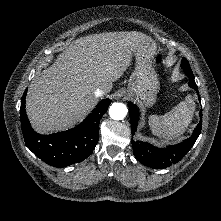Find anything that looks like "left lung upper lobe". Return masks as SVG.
Listing matches in <instances>:
<instances>
[{"label":"left lung upper lobe","mask_w":221,"mask_h":221,"mask_svg":"<svg viewBox=\"0 0 221 221\" xmlns=\"http://www.w3.org/2000/svg\"><path fill=\"white\" fill-rule=\"evenodd\" d=\"M181 67L183 68V70H191L189 63L185 58L182 59Z\"/></svg>","instance_id":"5c2ea615"}]
</instances>
